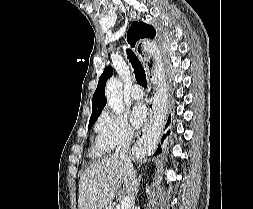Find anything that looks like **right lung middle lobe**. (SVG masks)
<instances>
[{
    "label": "right lung middle lobe",
    "mask_w": 253,
    "mask_h": 209,
    "mask_svg": "<svg viewBox=\"0 0 253 209\" xmlns=\"http://www.w3.org/2000/svg\"><path fill=\"white\" fill-rule=\"evenodd\" d=\"M96 120H97V118H95V119H91V120L89 121L88 130H90V129H91V127H92V126H93V124L96 122Z\"/></svg>",
    "instance_id": "obj_1"
}]
</instances>
